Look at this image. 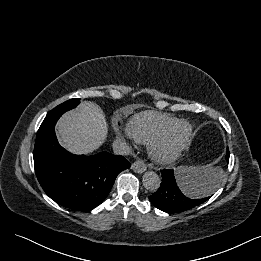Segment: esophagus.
I'll use <instances>...</instances> for the list:
<instances>
[{
  "instance_id": "obj_1",
  "label": "esophagus",
  "mask_w": 261,
  "mask_h": 261,
  "mask_svg": "<svg viewBox=\"0 0 261 261\" xmlns=\"http://www.w3.org/2000/svg\"><path fill=\"white\" fill-rule=\"evenodd\" d=\"M131 169L136 173H143L146 171L147 166L142 159H137L131 166Z\"/></svg>"
}]
</instances>
